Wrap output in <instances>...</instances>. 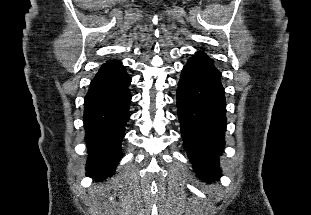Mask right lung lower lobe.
Returning a JSON list of instances; mask_svg holds the SVG:
<instances>
[{"label":"right lung lower lobe","mask_w":311,"mask_h":215,"mask_svg":"<svg viewBox=\"0 0 311 215\" xmlns=\"http://www.w3.org/2000/svg\"><path fill=\"white\" fill-rule=\"evenodd\" d=\"M131 78L119 60L108 61L91 81L84 102L88 147L86 175L95 181L111 176L121 157V142L129 119Z\"/></svg>","instance_id":"98d812e1"}]
</instances>
